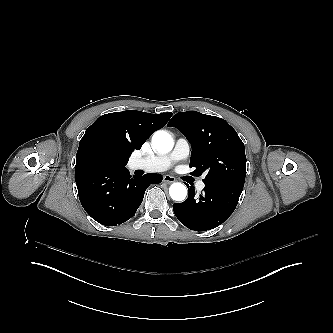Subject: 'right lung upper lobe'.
<instances>
[{"label": "right lung upper lobe", "instance_id": "cb5924a9", "mask_svg": "<svg viewBox=\"0 0 333 333\" xmlns=\"http://www.w3.org/2000/svg\"><path fill=\"white\" fill-rule=\"evenodd\" d=\"M172 113L150 114L128 110L100 116L80 140L76 166L85 164L88 152L102 147L120 161L128 162L131 153L158 129L164 127Z\"/></svg>", "mask_w": 333, "mask_h": 333}]
</instances>
